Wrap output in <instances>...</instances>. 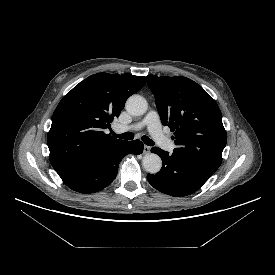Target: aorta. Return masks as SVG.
<instances>
[{"label": "aorta", "mask_w": 275, "mask_h": 275, "mask_svg": "<svg viewBox=\"0 0 275 275\" xmlns=\"http://www.w3.org/2000/svg\"><path fill=\"white\" fill-rule=\"evenodd\" d=\"M147 108V101L140 95H132L126 101V110L131 115H142L147 111ZM142 164L147 172L156 174L162 167V160L157 154L148 153L143 157Z\"/></svg>", "instance_id": "aorta-1"}]
</instances>
